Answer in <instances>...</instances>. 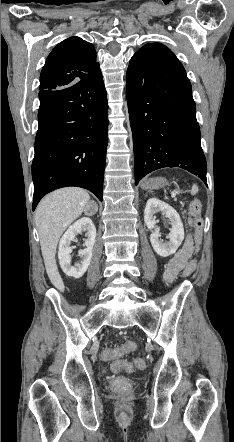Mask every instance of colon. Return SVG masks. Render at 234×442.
I'll list each match as a JSON object with an SVG mask.
<instances>
[{"label": "colon", "instance_id": "obj_1", "mask_svg": "<svg viewBox=\"0 0 234 442\" xmlns=\"http://www.w3.org/2000/svg\"><path fill=\"white\" fill-rule=\"evenodd\" d=\"M202 210V202L199 199L193 200L188 208V214L190 217L191 226L194 229V242L196 245L200 244L201 234H202V220L200 218V213ZM198 262L197 256H194V261L190 260L187 266L184 268L183 275L185 277L190 276L192 273L197 271L196 263ZM136 348L133 342H124L120 346H106L99 349L100 357L105 362H111L112 371L115 373H131L134 370L144 368V359L141 356H135L132 362L123 360L122 357ZM111 389H117L119 391H124L126 389L132 388V381L127 380L125 377H118L116 380H111Z\"/></svg>", "mask_w": 234, "mask_h": 442}]
</instances>
